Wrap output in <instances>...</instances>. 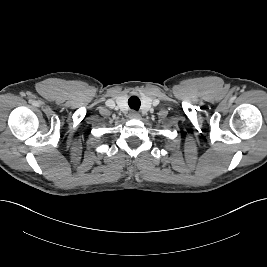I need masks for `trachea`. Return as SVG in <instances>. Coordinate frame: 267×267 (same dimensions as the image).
I'll list each match as a JSON object with an SVG mask.
<instances>
[{
	"mask_svg": "<svg viewBox=\"0 0 267 267\" xmlns=\"http://www.w3.org/2000/svg\"><path fill=\"white\" fill-rule=\"evenodd\" d=\"M128 105L131 109L138 111L141 105L140 99L137 96H131L128 100Z\"/></svg>",
	"mask_w": 267,
	"mask_h": 267,
	"instance_id": "3493384b",
	"label": "trachea"
}]
</instances>
